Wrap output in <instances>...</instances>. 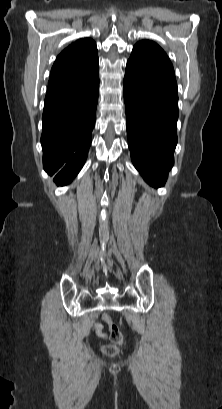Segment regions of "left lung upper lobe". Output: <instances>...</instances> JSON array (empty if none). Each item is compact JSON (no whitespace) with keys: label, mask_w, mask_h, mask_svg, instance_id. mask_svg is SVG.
I'll use <instances>...</instances> for the list:
<instances>
[{"label":"left lung upper lobe","mask_w":222,"mask_h":409,"mask_svg":"<svg viewBox=\"0 0 222 409\" xmlns=\"http://www.w3.org/2000/svg\"><path fill=\"white\" fill-rule=\"evenodd\" d=\"M126 73L163 86L177 94L175 73L163 49L149 40L137 42L126 66Z\"/></svg>","instance_id":"left-lung-upper-lobe-1"}]
</instances>
